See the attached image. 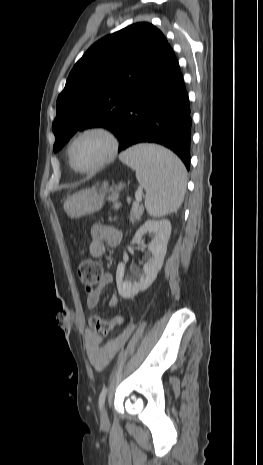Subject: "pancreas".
Returning a JSON list of instances; mask_svg holds the SVG:
<instances>
[{
  "instance_id": "cf45deb5",
  "label": "pancreas",
  "mask_w": 263,
  "mask_h": 465,
  "mask_svg": "<svg viewBox=\"0 0 263 465\" xmlns=\"http://www.w3.org/2000/svg\"><path fill=\"white\" fill-rule=\"evenodd\" d=\"M144 211L143 206H133L130 212V222L134 223L136 220H139Z\"/></svg>"
}]
</instances>
